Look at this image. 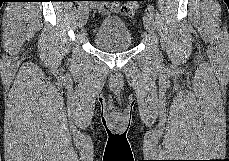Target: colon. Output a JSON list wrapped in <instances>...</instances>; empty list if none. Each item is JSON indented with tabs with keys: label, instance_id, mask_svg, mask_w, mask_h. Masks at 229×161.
Returning <instances> with one entry per match:
<instances>
[{
	"label": "colon",
	"instance_id": "1",
	"mask_svg": "<svg viewBox=\"0 0 229 161\" xmlns=\"http://www.w3.org/2000/svg\"><path fill=\"white\" fill-rule=\"evenodd\" d=\"M138 8V2L137 0L135 1H128L125 3L122 8L121 12L124 16L131 17L135 14L136 10Z\"/></svg>",
	"mask_w": 229,
	"mask_h": 161
}]
</instances>
